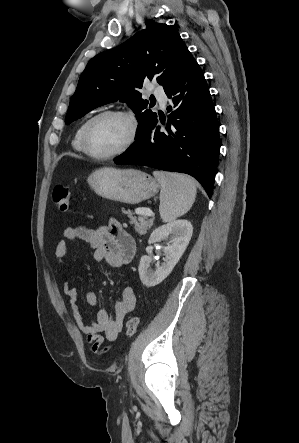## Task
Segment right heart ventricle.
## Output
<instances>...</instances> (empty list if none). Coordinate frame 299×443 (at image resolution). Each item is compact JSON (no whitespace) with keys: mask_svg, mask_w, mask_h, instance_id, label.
Wrapping results in <instances>:
<instances>
[{"mask_svg":"<svg viewBox=\"0 0 299 443\" xmlns=\"http://www.w3.org/2000/svg\"><path fill=\"white\" fill-rule=\"evenodd\" d=\"M87 122V120L83 121L77 128L73 140H72V146L73 148L80 153H85L84 149L82 147V142H81V136H82V131L84 128L85 123Z\"/></svg>","mask_w":299,"mask_h":443,"instance_id":"1","label":"right heart ventricle"}]
</instances>
